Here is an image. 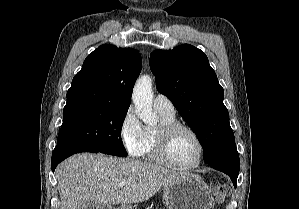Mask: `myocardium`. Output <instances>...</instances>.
<instances>
[{
	"label": "myocardium",
	"mask_w": 299,
	"mask_h": 209,
	"mask_svg": "<svg viewBox=\"0 0 299 209\" xmlns=\"http://www.w3.org/2000/svg\"><path fill=\"white\" fill-rule=\"evenodd\" d=\"M180 131H185L191 134L199 146V155L195 163L191 165H181L176 163L170 156V144L175 134ZM154 154L158 161L165 166L178 170H193L203 162L205 147L198 133L191 127L179 122L161 124L154 131Z\"/></svg>",
	"instance_id": "myocardium-1"
}]
</instances>
